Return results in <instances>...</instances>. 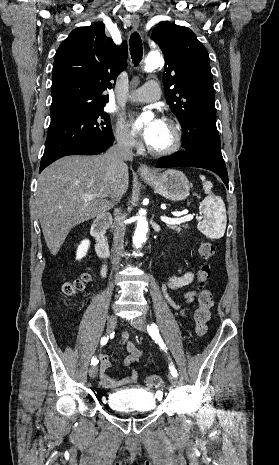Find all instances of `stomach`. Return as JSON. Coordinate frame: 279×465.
<instances>
[{"label": "stomach", "mask_w": 279, "mask_h": 465, "mask_svg": "<svg viewBox=\"0 0 279 465\" xmlns=\"http://www.w3.org/2000/svg\"><path fill=\"white\" fill-rule=\"evenodd\" d=\"M142 178L158 194L168 200L181 201L189 195L190 183L181 171L168 169L161 174L143 176Z\"/></svg>", "instance_id": "obj_1"}]
</instances>
